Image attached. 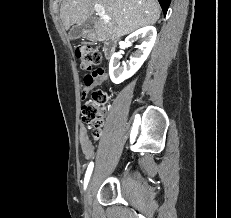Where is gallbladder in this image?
I'll list each match as a JSON object with an SVG mask.
<instances>
[{
    "label": "gallbladder",
    "mask_w": 231,
    "mask_h": 218,
    "mask_svg": "<svg viewBox=\"0 0 231 218\" xmlns=\"http://www.w3.org/2000/svg\"><path fill=\"white\" fill-rule=\"evenodd\" d=\"M94 23L93 17L90 16L82 23L73 26L69 32L70 39L75 40L83 37L86 31L91 30L94 27Z\"/></svg>",
    "instance_id": "bac80fb5"
}]
</instances>
